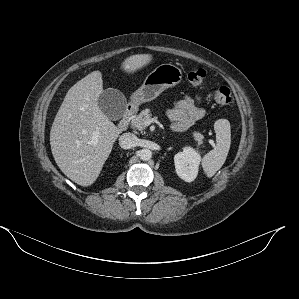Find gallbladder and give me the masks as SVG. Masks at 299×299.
<instances>
[{
    "label": "gallbladder",
    "mask_w": 299,
    "mask_h": 299,
    "mask_svg": "<svg viewBox=\"0 0 299 299\" xmlns=\"http://www.w3.org/2000/svg\"><path fill=\"white\" fill-rule=\"evenodd\" d=\"M97 103L110 120H119L125 113L127 101L122 92L108 88L100 94Z\"/></svg>",
    "instance_id": "1"
}]
</instances>
